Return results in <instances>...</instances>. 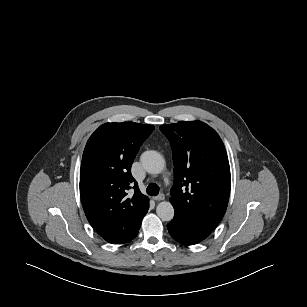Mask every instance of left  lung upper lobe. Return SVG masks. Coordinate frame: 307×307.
<instances>
[{
	"label": "left lung upper lobe",
	"instance_id": "obj_1",
	"mask_svg": "<svg viewBox=\"0 0 307 307\" xmlns=\"http://www.w3.org/2000/svg\"><path fill=\"white\" fill-rule=\"evenodd\" d=\"M169 139L174 162L170 202L175 216L209 235L227 209L231 175L227 153L217 132L201 121L160 126Z\"/></svg>",
	"mask_w": 307,
	"mask_h": 307
}]
</instances>
